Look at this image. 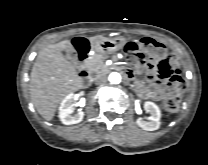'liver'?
I'll return each instance as SVG.
<instances>
[{
	"label": "liver",
	"instance_id": "obj_1",
	"mask_svg": "<svg viewBox=\"0 0 208 165\" xmlns=\"http://www.w3.org/2000/svg\"><path fill=\"white\" fill-rule=\"evenodd\" d=\"M105 38L104 35L87 37L91 42ZM71 51L69 40L51 44L37 55L30 76V94L38 113L47 121L55 115L57 106L69 94L82 88L73 62L62 51Z\"/></svg>",
	"mask_w": 208,
	"mask_h": 165
}]
</instances>
